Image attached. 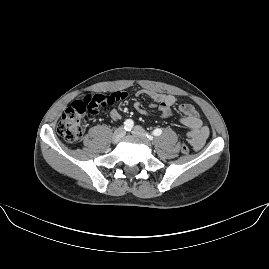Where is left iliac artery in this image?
<instances>
[{
    "instance_id": "obj_1",
    "label": "left iliac artery",
    "mask_w": 269,
    "mask_h": 269,
    "mask_svg": "<svg viewBox=\"0 0 269 269\" xmlns=\"http://www.w3.org/2000/svg\"><path fill=\"white\" fill-rule=\"evenodd\" d=\"M162 134V130L157 128L152 132V135L154 136H160ZM147 138H149L150 140L153 139V137L151 135H147Z\"/></svg>"
}]
</instances>
